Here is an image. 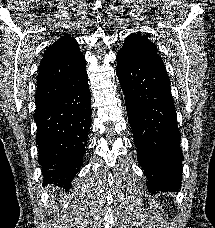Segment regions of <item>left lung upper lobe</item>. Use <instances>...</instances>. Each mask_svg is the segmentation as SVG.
Here are the masks:
<instances>
[{
	"label": "left lung upper lobe",
	"mask_w": 215,
	"mask_h": 228,
	"mask_svg": "<svg viewBox=\"0 0 215 228\" xmlns=\"http://www.w3.org/2000/svg\"><path fill=\"white\" fill-rule=\"evenodd\" d=\"M157 52L156 46L151 41L137 33L130 34L126 38L123 47L118 53H122L127 57L145 59L159 57Z\"/></svg>",
	"instance_id": "5c2ea615"
}]
</instances>
